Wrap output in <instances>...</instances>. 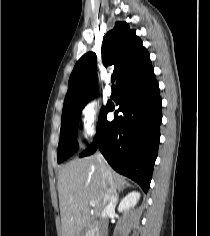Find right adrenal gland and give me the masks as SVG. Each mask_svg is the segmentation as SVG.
<instances>
[{"mask_svg":"<svg viewBox=\"0 0 210 236\" xmlns=\"http://www.w3.org/2000/svg\"><path fill=\"white\" fill-rule=\"evenodd\" d=\"M125 187H131V185L127 183V184L125 185ZM125 187H124V188H125ZM124 188H122V189L119 191V193H120L121 191H123ZM119 193L117 194V201H116V203H118V200H119Z\"/></svg>","mask_w":210,"mask_h":236,"instance_id":"obj_1","label":"right adrenal gland"}]
</instances>
